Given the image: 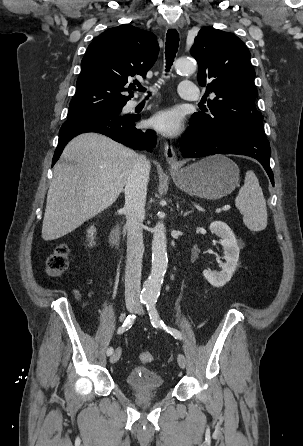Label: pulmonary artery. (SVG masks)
Returning a JSON list of instances; mask_svg holds the SVG:
<instances>
[{
	"label": "pulmonary artery",
	"instance_id": "e3ab8cb5",
	"mask_svg": "<svg viewBox=\"0 0 303 446\" xmlns=\"http://www.w3.org/2000/svg\"><path fill=\"white\" fill-rule=\"evenodd\" d=\"M179 93L183 99L190 100V101L197 100L199 97L198 87L190 81H182L180 83ZM133 104L136 105L137 102H134Z\"/></svg>",
	"mask_w": 303,
	"mask_h": 446
}]
</instances>
